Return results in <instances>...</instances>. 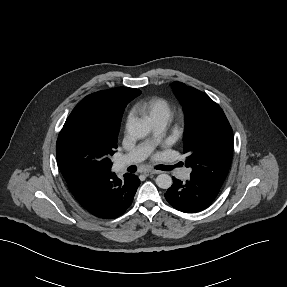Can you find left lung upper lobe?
Masks as SVG:
<instances>
[{
  "label": "left lung upper lobe",
  "instance_id": "obj_1",
  "mask_svg": "<svg viewBox=\"0 0 287 287\" xmlns=\"http://www.w3.org/2000/svg\"><path fill=\"white\" fill-rule=\"evenodd\" d=\"M185 114V166L191 175L221 187L230 168L233 151L232 128L221 107L206 93L181 82L172 84Z\"/></svg>",
  "mask_w": 287,
  "mask_h": 287
}]
</instances>
